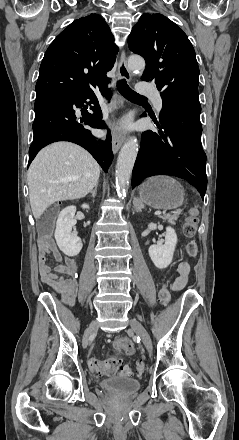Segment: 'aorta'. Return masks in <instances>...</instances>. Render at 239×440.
<instances>
[{
    "mask_svg": "<svg viewBox=\"0 0 239 440\" xmlns=\"http://www.w3.org/2000/svg\"><path fill=\"white\" fill-rule=\"evenodd\" d=\"M128 66L131 72H136V74H142L145 68V62L140 56H130L128 60ZM138 154V142L136 138H129L125 142L121 152L118 156L116 164V184L119 194H126L135 164V160Z\"/></svg>",
    "mask_w": 239,
    "mask_h": 440,
    "instance_id": "obj_1",
    "label": "aorta"
}]
</instances>
